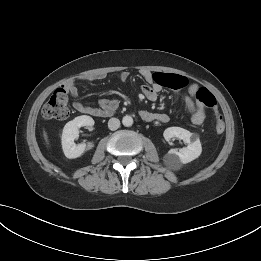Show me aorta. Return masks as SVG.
<instances>
[{"mask_svg": "<svg viewBox=\"0 0 261 261\" xmlns=\"http://www.w3.org/2000/svg\"><path fill=\"white\" fill-rule=\"evenodd\" d=\"M122 124L126 127H130L133 124V118L129 115H126L122 118Z\"/></svg>", "mask_w": 261, "mask_h": 261, "instance_id": "1", "label": "aorta"}]
</instances>
